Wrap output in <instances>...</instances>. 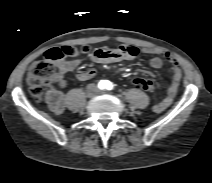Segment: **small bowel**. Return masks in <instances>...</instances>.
<instances>
[{
  "mask_svg": "<svg viewBox=\"0 0 212 183\" xmlns=\"http://www.w3.org/2000/svg\"><path fill=\"white\" fill-rule=\"evenodd\" d=\"M143 53L152 55L149 64L152 68H161L164 64V60L170 64L173 71V81L169 86L166 95L153 106L155 113H161L167 109L173 102L182 77V71L177 59L169 52L158 48H144L141 50ZM140 50L132 45H121L118 48H99L93 51L91 57L96 63L107 64L113 62L129 61L134 59ZM79 64L78 60H63L57 65V70L54 76V81L60 86L64 87L66 81L64 75L73 71ZM145 75L152 78L155 74L149 71L143 72ZM96 72L93 69L81 70L76 74V77L80 81H86L95 76ZM152 83L153 81L149 79ZM154 85V83H153ZM154 90V88H153ZM152 90V91H153ZM46 101L49 108L55 114H60L65 109L64 95L61 91L51 88L46 94Z\"/></svg>",
  "mask_w": 212,
  "mask_h": 183,
  "instance_id": "obj_1",
  "label": "small bowel"
}]
</instances>
